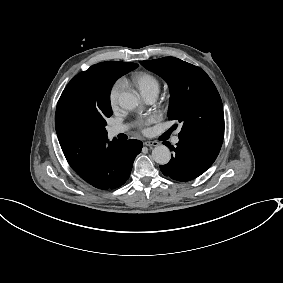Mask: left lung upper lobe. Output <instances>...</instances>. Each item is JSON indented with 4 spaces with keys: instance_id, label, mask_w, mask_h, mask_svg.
<instances>
[{
    "instance_id": "obj_1",
    "label": "left lung upper lobe",
    "mask_w": 283,
    "mask_h": 283,
    "mask_svg": "<svg viewBox=\"0 0 283 283\" xmlns=\"http://www.w3.org/2000/svg\"><path fill=\"white\" fill-rule=\"evenodd\" d=\"M140 63L168 83L171 94L168 117L183 124L179 137L221 146L223 105L209 76L201 68L175 57Z\"/></svg>"
}]
</instances>
